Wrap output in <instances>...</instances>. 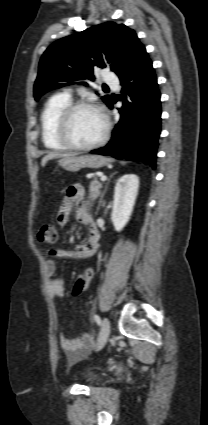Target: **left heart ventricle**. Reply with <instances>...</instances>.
Listing matches in <instances>:
<instances>
[{"label": "left heart ventricle", "mask_w": 208, "mask_h": 425, "mask_svg": "<svg viewBox=\"0 0 208 425\" xmlns=\"http://www.w3.org/2000/svg\"><path fill=\"white\" fill-rule=\"evenodd\" d=\"M104 131V120L94 110H78L72 119L70 134L72 139L81 145L97 141Z\"/></svg>", "instance_id": "obj_1"}]
</instances>
